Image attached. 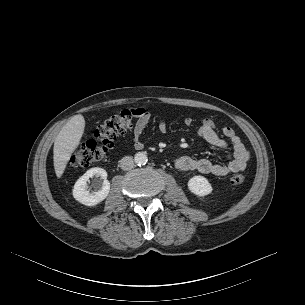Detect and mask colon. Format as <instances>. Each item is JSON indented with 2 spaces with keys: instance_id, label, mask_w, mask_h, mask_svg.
Returning a JSON list of instances; mask_svg holds the SVG:
<instances>
[{
  "instance_id": "1",
  "label": "colon",
  "mask_w": 305,
  "mask_h": 305,
  "mask_svg": "<svg viewBox=\"0 0 305 305\" xmlns=\"http://www.w3.org/2000/svg\"><path fill=\"white\" fill-rule=\"evenodd\" d=\"M133 118L134 114L131 110H123L104 119L98 125L94 139L74 150L70 158L71 164L88 167L101 161L113 147L115 139L131 128ZM230 182L232 185H240L244 182V176L233 175Z\"/></svg>"
}]
</instances>
